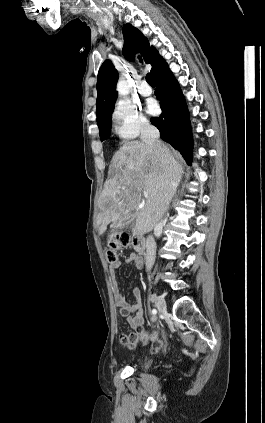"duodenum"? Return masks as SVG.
I'll return each instance as SVG.
<instances>
[{
  "instance_id": "410a0bca",
  "label": "duodenum",
  "mask_w": 265,
  "mask_h": 423,
  "mask_svg": "<svg viewBox=\"0 0 265 423\" xmlns=\"http://www.w3.org/2000/svg\"><path fill=\"white\" fill-rule=\"evenodd\" d=\"M132 244L134 249L141 255L145 253L146 250V242L140 232L137 230L134 231L132 236Z\"/></svg>"
}]
</instances>
